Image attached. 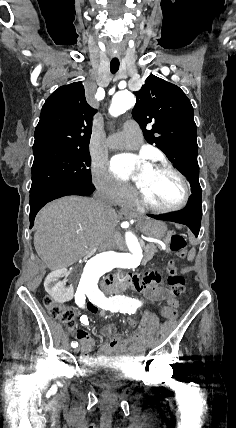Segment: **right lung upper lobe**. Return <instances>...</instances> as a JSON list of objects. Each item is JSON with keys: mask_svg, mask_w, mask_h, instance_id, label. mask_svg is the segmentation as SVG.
Returning a JSON list of instances; mask_svg holds the SVG:
<instances>
[{"mask_svg": "<svg viewBox=\"0 0 236 428\" xmlns=\"http://www.w3.org/2000/svg\"><path fill=\"white\" fill-rule=\"evenodd\" d=\"M95 113L86 102L81 82L59 87L42 107L33 150L87 147Z\"/></svg>", "mask_w": 236, "mask_h": 428, "instance_id": "1", "label": "right lung upper lobe"}]
</instances>
